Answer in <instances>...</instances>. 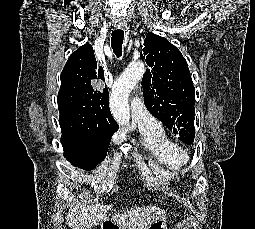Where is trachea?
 <instances>
[{
	"label": "trachea",
	"mask_w": 255,
	"mask_h": 229,
	"mask_svg": "<svg viewBox=\"0 0 255 229\" xmlns=\"http://www.w3.org/2000/svg\"><path fill=\"white\" fill-rule=\"evenodd\" d=\"M124 39V31L122 29H117L112 32L111 46L113 52L117 57L122 55V44Z\"/></svg>",
	"instance_id": "obj_1"
}]
</instances>
